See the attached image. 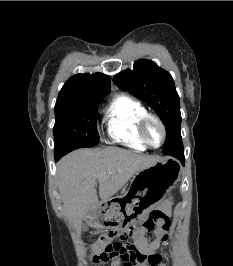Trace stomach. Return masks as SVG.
<instances>
[{
  "label": "stomach",
  "mask_w": 233,
  "mask_h": 266,
  "mask_svg": "<svg viewBox=\"0 0 233 266\" xmlns=\"http://www.w3.org/2000/svg\"><path fill=\"white\" fill-rule=\"evenodd\" d=\"M168 166H178V161H157L137 172L125 194L108 199V204H100V210L94 211V224L113 228V232H130V228H138L140 220L136 215L150 211L164 199L171 185H177L181 167Z\"/></svg>",
  "instance_id": "stomach-1"
}]
</instances>
